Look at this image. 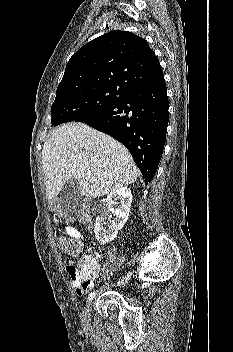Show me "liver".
Instances as JSON below:
<instances>
[{"label":"liver","mask_w":233,"mask_h":352,"mask_svg":"<svg viewBox=\"0 0 233 352\" xmlns=\"http://www.w3.org/2000/svg\"><path fill=\"white\" fill-rule=\"evenodd\" d=\"M41 156L48 200H54L70 179L78 180L82 196L96 198L134 183L139 175L121 143L83 123L53 130Z\"/></svg>","instance_id":"1"}]
</instances>
